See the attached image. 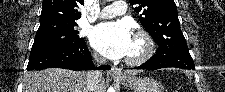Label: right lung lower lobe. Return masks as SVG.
I'll use <instances>...</instances> for the list:
<instances>
[{"label":"right lung lower lobe","instance_id":"obj_1","mask_svg":"<svg viewBox=\"0 0 225 92\" xmlns=\"http://www.w3.org/2000/svg\"><path fill=\"white\" fill-rule=\"evenodd\" d=\"M52 67L70 70L110 69L108 65L100 67L93 65L92 56L85 41L78 45L54 47L30 53L28 70H41Z\"/></svg>","mask_w":225,"mask_h":92}]
</instances>
